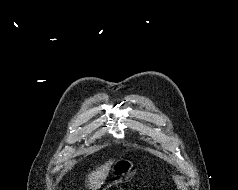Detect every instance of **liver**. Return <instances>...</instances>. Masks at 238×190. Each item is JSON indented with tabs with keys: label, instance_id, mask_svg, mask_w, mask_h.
<instances>
[{
	"label": "liver",
	"instance_id": "6515ba94",
	"mask_svg": "<svg viewBox=\"0 0 238 190\" xmlns=\"http://www.w3.org/2000/svg\"><path fill=\"white\" fill-rule=\"evenodd\" d=\"M112 163V161H108L88 175L89 188L91 190H98L101 187L108 176Z\"/></svg>",
	"mask_w": 238,
	"mask_h": 190
}]
</instances>
